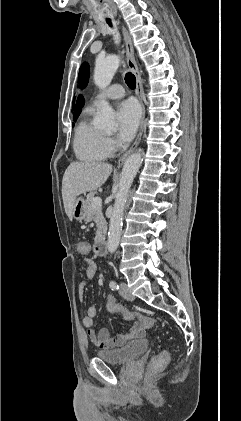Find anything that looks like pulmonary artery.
<instances>
[{"mask_svg": "<svg viewBox=\"0 0 241 421\" xmlns=\"http://www.w3.org/2000/svg\"><path fill=\"white\" fill-rule=\"evenodd\" d=\"M124 88L120 84H114L110 86L105 92H103L97 99L93 101V106L98 104L99 98L104 99H119L124 96Z\"/></svg>", "mask_w": 241, "mask_h": 421, "instance_id": "1", "label": "pulmonary artery"}]
</instances>
